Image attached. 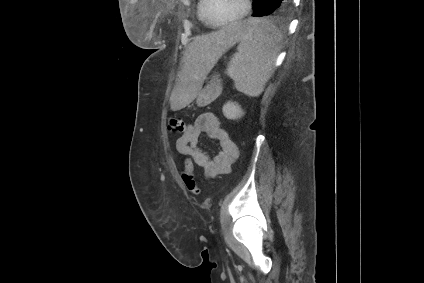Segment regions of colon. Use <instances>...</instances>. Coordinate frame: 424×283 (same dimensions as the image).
Instances as JSON below:
<instances>
[{"instance_id":"obj_1","label":"colon","mask_w":424,"mask_h":283,"mask_svg":"<svg viewBox=\"0 0 424 283\" xmlns=\"http://www.w3.org/2000/svg\"><path fill=\"white\" fill-rule=\"evenodd\" d=\"M168 128L172 133H182L185 130L184 120L179 116H171L168 121ZM194 166L190 161H186L184 165V171L182 173V179L186 188L194 195L200 194V189L197 185L193 174Z\"/></svg>"}]
</instances>
